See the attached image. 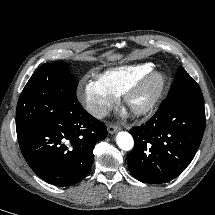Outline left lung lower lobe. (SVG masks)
<instances>
[{
	"instance_id": "0a47b994",
	"label": "left lung lower lobe",
	"mask_w": 215,
	"mask_h": 215,
	"mask_svg": "<svg viewBox=\"0 0 215 215\" xmlns=\"http://www.w3.org/2000/svg\"><path fill=\"white\" fill-rule=\"evenodd\" d=\"M204 129V101L166 98L146 124L130 130L135 140L128 156L131 174L151 184L174 179L194 158Z\"/></svg>"
}]
</instances>
